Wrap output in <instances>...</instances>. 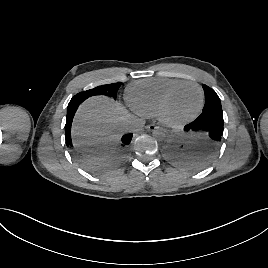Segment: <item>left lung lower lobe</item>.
I'll use <instances>...</instances> for the list:
<instances>
[{"instance_id": "0a47b994", "label": "left lung lower lobe", "mask_w": 268, "mask_h": 268, "mask_svg": "<svg viewBox=\"0 0 268 268\" xmlns=\"http://www.w3.org/2000/svg\"><path fill=\"white\" fill-rule=\"evenodd\" d=\"M223 112L206 111L167 146L166 156L175 167L190 169L211 164L223 137ZM199 131V133L197 132Z\"/></svg>"}]
</instances>
